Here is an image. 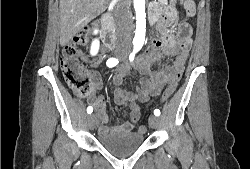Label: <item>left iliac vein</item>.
Wrapping results in <instances>:
<instances>
[{"label":"left iliac vein","mask_w":250,"mask_h":169,"mask_svg":"<svg viewBox=\"0 0 250 169\" xmlns=\"http://www.w3.org/2000/svg\"><path fill=\"white\" fill-rule=\"evenodd\" d=\"M148 122L151 128H158L160 126V119L156 115H151Z\"/></svg>","instance_id":"obj_1"}]
</instances>
